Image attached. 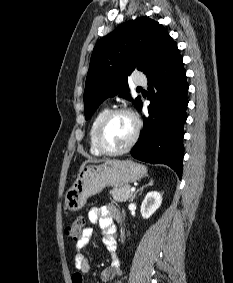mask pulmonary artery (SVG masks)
I'll return each mask as SVG.
<instances>
[{
    "mask_svg": "<svg viewBox=\"0 0 233 283\" xmlns=\"http://www.w3.org/2000/svg\"><path fill=\"white\" fill-rule=\"evenodd\" d=\"M134 82L138 86H145L147 84V79L144 76H137Z\"/></svg>",
    "mask_w": 233,
    "mask_h": 283,
    "instance_id": "obj_1",
    "label": "pulmonary artery"
}]
</instances>
